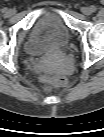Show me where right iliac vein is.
<instances>
[{
  "label": "right iliac vein",
  "instance_id": "obj_1",
  "mask_svg": "<svg viewBox=\"0 0 104 137\" xmlns=\"http://www.w3.org/2000/svg\"><path fill=\"white\" fill-rule=\"evenodd\" d=\"M8 15H13L14 14V11L13 10H8V13H7Z\"/></svg>",
  "mask_w": 104,
  "mask_h": 137
}]
</instances>
